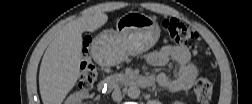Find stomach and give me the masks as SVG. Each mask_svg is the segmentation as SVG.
<instances>
[{"mask_svg": "<svg viewBox=\"0 0 252 104\" xmlns=\"http://www.w3.org/2000/svg\"><path fill=\"white\" fill-rule=\"evenodd\" d=\"M159 37L160 29L155 18L129 12L117 20L116 30L101 32L92 47L104 64L116 65L128 56L146 52Z\"/></svg>", "mask_w": 252, "mask_h": 104, "instance_id": "stomach-1", "label": "stomach"}]
</instances>
